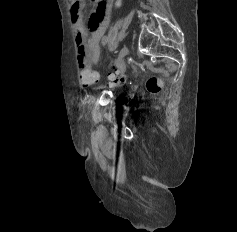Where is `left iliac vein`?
<instances>
[{
    "label": "left iliac vein",
    "instance_id": "1",
    "mask_svg": "<svg viewBox=\"0 0 237 232\" xmlns=\"http://www.w3.org/2000/svg\"><path fill=\"white\" fill-rule=\"evenodd\" d=\"M129 53V49L127 46H124L118 55V61H121L127 54Z\"/></svg>",
    "mask_w": 237,
    "mask_h": 232
}]
</instances>
